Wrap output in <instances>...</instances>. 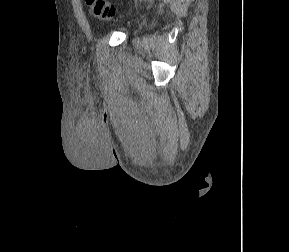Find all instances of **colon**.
I'll use <instances>...</instances> for the list:
<instances>
[{
  "instance_id": "colon-1",
  "label": "colon",
  "mask_w": 289,
  "mask_h": 252,
  "mask_svg": "<svg viewBox=\"0 0 289 252\" xmlns=\"http://www.w3.org/2000/svg\"><path fill=\"white\" fill-rule=\"evenodd\" d=\"M91 14L101 20H108L116 15L115 7L107 0H85Z\"/></svg>"
}]
</instances>
